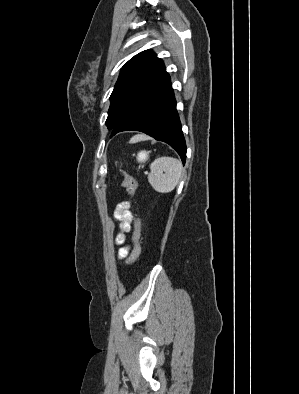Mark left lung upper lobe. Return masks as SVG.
<instances>
[{
	"instance_id": "obj_1",
	"label": "left lung upper lobe",
	"mask_w": 299,
	"mask_h": 394,
	"mask_svg": "<svg viewBox=\"0 0 299 394\" xmlns=\"http://www.w3.org/2000/svg\"><path fill=\"white\" fill-rule=\"evenodd\" d=\"M165 66L152 50H145L132 57L121 73L110 96L106 125L113 129L137 98L163 73Z\"/></svg>"
}]
</instances>
